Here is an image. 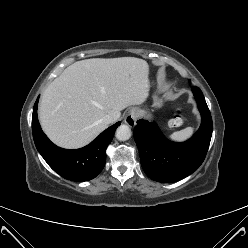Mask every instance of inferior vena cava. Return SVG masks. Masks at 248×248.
<instances>
[{
  "instance_id": "602c4592",
  "label": "inferior vena cava",
  "mask_w": 248,
  "mask_h": 248,
  "mask_svg": "<svg viewBox=\"0 0 248 248\" xmlns=\"http://www.w3.org/2000/svg\"><path fill=\"white\" fill-rule=\"evenodd\" d=\"M101 121H102L104 124L108 125V124H110V123H112V122L114 121V118H113V116H111V115H105V116L101 119Z\"/></svg>"
}]
</instances>
